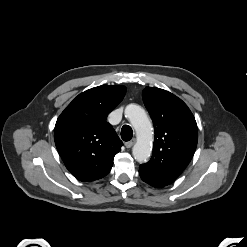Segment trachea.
<instances>
[{"instance_id":"obj_1","label":"trachea","mask_w":247,"mask_h":247,"mask_svg":"<svg viewBox=\"0 0 247 247\" xmlns=\"http://www.w3.org/2000/svg\"><path fill=\"white\" fill-rule=\"evenodd\" d=\"M133 136V130L129 125H124L121 129V138L123 141L131 140Z\"/></svg>"}]
</instances>
